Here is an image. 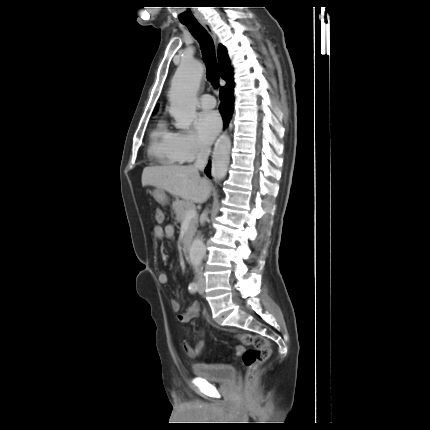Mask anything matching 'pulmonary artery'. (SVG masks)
Here are the masks:
<instances>
[{"label": "pulmonary artery", "mask_w": 430, "mask_h": 430, "mask_svg": "<svg viewBox=\"0 0 430 430\" xmlns=\"http://www.w3.org/2000/svg\"><path fill=\"white\" fill-rule=\"evenodd\" d=\"M199 105L203 109H212L216 106L214 97L210 94H204L200 97Z\"/></svg>", "instance_id": "1"}]
</instances>
